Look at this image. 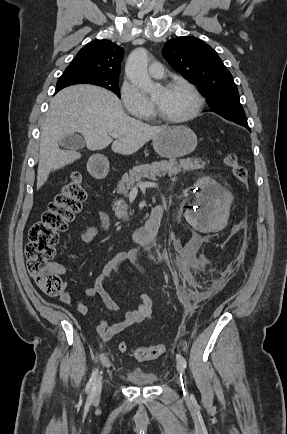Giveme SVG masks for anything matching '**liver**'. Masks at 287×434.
<instances>
[{
    "mask_svg": "<svg viewBox=\"0 0 287 434\" xmlns=\"http://www.w3.org/2000/svg\"><path fill=\"white\" fill-rule=\"evenodd\" d=\"M167 126H151L129 117L118 97L97 86L76 85L63 89L50 102L40 138L37 189L49 174L81 157L77 152L59 149L64 136L81 133L89 150H101L112 143L110 133L119 137L112 150L131 155Z\"/></svg>",
    "mask_w": 287,
    "mask_h": 434,
    "instance_id": "1",
    "label": "liver"
}]
</instances>
